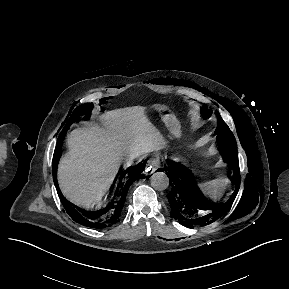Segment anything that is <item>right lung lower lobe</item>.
<instances>
[{"mask_svg":"<svg viewBox=\"0 0 289 289\" xmlns=\"http://www.w3.org/2000/svg\"><path fill=\"white\" fill-rule=\"evenodd\" d=\"M66 132L67 130L64 129L59 135L52 164L54 183L61 202L67 213L72 217V219L81 225L91 228L112 227L120 221V216L128 189L134 181L140 179L143 176L142 172L145 168L146 162H144L143 164L139 163L132 168L129 167L122 173V176L117 182L113 195L102 208L97 210H85L78 208L69 201H67L62 195L56 177L58 160L61 156V145Z\"/></svg>","mask_w":289,"mask_h":289,"instance_id":"right-lung-lower-lobe-1","label":"right lung lower lobe"}]
</instances>
